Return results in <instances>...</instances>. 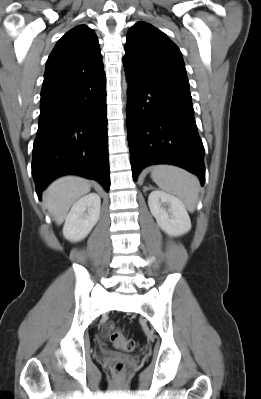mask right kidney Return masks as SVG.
I'll use <instances>...</instances> for the list:
<instances>
[{
    "mask_svg": "<svg viewBox=\"0 0 261 399\" xmlns=\"http://www.w3.org/2000/svg\"><path fill=\"white\" fill-rule=\"evenodd\" d=\"M100 207L101 199L96 193H89L80 198L65 219L64 237L71 242L83 240L98 222Z\"/></svg>",
    "mask_w": 261,
    "mask_h": 399,
    "instance_id": "obj_1",
    "label": "right kidney"
}]
</instances>
